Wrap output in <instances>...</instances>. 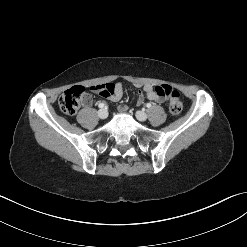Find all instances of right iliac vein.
Listing matches in <instances>:
<instances>
[{
  "label": "right iliac vein",
  "mask_w": 247,
  "mask_h": 247,
  "mask_svg": "<svg viewBox=\"0 0 247 247\" xmlns=\"http://www.w3.org/2000/svg\"><path fill=\"white\" fill-rule=\"evenodd\" d=\"M98 117L101 119H105L108 117V111L106 109H100L98 111Z\"/></svg>",
  "instance_id": "obj_1"
}]
</instances>
